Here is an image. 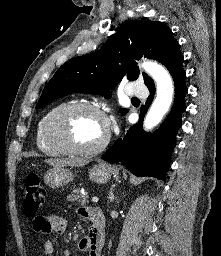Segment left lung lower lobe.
<instances>
[{"mask_svg": "<svg viewBox=\"0 0 221 256\" xmlns=\"http://www.w3.org/2000/svg\"><path fill=\"white\" fill-rule=\"evenodd\" d=\"M175 85L173 108L153 134L143 131L142 121L155 92L154 84L148 86L150 95L146 105L141 107L139 122L130 127L122 139H118L102 159L121 162L136 176H151L164 179L171 153L176 145V132L181 127V114L186 109V73L182 68L172 75Z\"/></svg>", "mask_w": 221, "mask_h": 256, "instance_id": "1", "label": "left lung lower lobe"}]
</instances>
